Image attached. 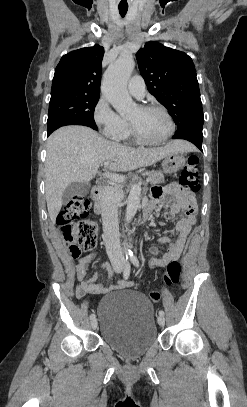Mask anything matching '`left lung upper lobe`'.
Returning a JSON list of instances; mask_svg holds the SVG:
<instances>
[{
	"instance_id": "5c2ea615",
	"label": "left lung upper lobe",
	"mask_w": 247,
	"mask_h": 407,
	"mask_svg": "<svg viewBox=\"0 0 247 407\" xmlns=\"http://www.w3.org/2000/svg\"><path fill=\"white\" fill-rule=\"evenodd\" d=\"M136 58L148 91L168 109L177 131L203 125L200 90L192 59L152 41L137 52Z\"/></svg>"
}]
</instances>
